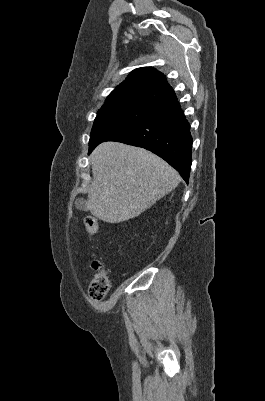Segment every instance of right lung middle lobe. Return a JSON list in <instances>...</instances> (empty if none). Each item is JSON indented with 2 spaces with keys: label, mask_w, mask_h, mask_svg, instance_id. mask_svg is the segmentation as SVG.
Here are the masks:
<instances>
[{
  "label": "right lung middle lobe",
  "mask_w": 265,
  "mask_h": 401,
  "mask_svg": "<svg viewBox=\"0 0 265 401\" xmlns=\"http://www.w3.org/2000/svg\"><path fill=\"white\" fill-rule=\"evenodd\" d=\"M161 108V105L146 102L103 106L97 112L92 127L89 149L107 140L118 130L149 116Z\"/></svg>",
  "instance_id": "1"
}]
</instances>
